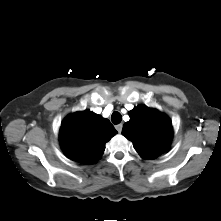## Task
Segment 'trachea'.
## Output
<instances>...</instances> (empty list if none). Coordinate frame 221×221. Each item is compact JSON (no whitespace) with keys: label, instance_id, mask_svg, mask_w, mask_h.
<instances>
[{"label":"trachea","instance_id":"trachea-1","mask_svg":"<svg viewBox=\"0 0 221 221\" xmlns=\"http://www.w3.org/2000/svg\"><path fill=\"white\" fill-rule=\"evenodd\" d=\"M111 120H112L113 124H119L122 120V116L119 112L114 111L111 115Z\"/></svg>","mask_w":221,"mask_h":221}]
</instances>
